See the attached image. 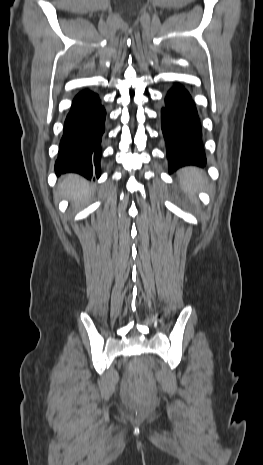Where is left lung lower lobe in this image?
Returning a JSON list of instances; mask_svg holds the SVG:
<instances>
[{
  "label": "left lung lower lobe",
  "instance_id": "obj_1",
  "mask_svg": "<svg viewBox=\"0 0 263 465\" xmlns=\"http://www.w3.org/2000/svg\"><path fill=\"white\" fill-rule=\"evenodd\" d=\"M165 105L161 110V123L169 172L185 165L204 166L201 124L190 94L176 85L168 92Z\"/></svg>",
  "mask_w": 263,
  "mask_h": 465
}]
</instances>
